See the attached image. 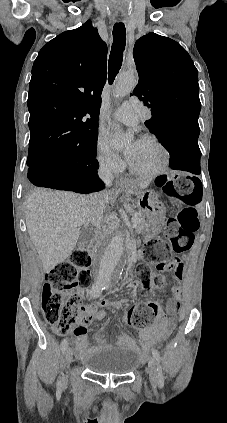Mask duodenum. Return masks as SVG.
I'll use <instances>...</instances> for the list:
<instances>
[{"instance_id":"obj_1","label":"duodenum","mask_w":227,"mask_h":423,"mask_svg":"<svg viewBox=\"0 0 227 423\" xmlns=\"http://www.w3.org/2000/svg\"><path fill=\"white\" fill-rule=\"evenodd\" d=\"M132 248L129 246V250H131Z\"/></svg>"}]
</instances>
